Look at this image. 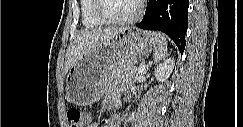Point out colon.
Masks as SVG:
<instances>
[{"instance_id": "1", "label": "colon", "mask_w": 243, "mask_h": 127, "mask_svg": "<svg viewBox=\"0 0 243 127\" xmlns=\"http://www.w3.org/2000/svg\"><path fill=\"white\" fill-rule=\"evenodd\" d=\"M67 118L71 127H83L85 125V118L77 108H70L67 112Z\"/></svg>"}]
</instances>
